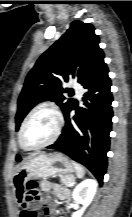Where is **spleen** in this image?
<instances>
[{"label": "spleen", "instance_id": "3e777b00", "mask_svg": "<svg viewBox=\"0 0 132 217\" xmlns=\"http://www.w3.org/2000/svg\"><path fill=\"white\" fill-rule=\"evenodd\" d=\"M72 163L74 165L77 177L82 178L84 176V174H85V169L80 164H78L77 162L73 161Z\"/></svg>", "mask_w": 132, "mask_h": 217}]
</instances>
